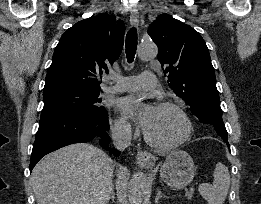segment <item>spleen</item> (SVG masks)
I'll use <instances>...</instances> for the list:
<instances>
[{
	"instance_id": "3e777b00",
	"label": "spleen",
	"mask_w": 261,
	"mask_h": 204,
	"mask_svg": "<svg viewBox=\"0 0 261 204\" xmlns=\"http://www.w3.org/2000/svg\"><path fill=\"white\" fill-rule=\"evenodd\" d=\"M213 184L203 183L199 186L200 195L208 204H223L230 186V174L228 168L218 162L216 164Z\"/></svg>"
}]
</instances>
